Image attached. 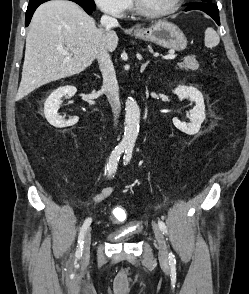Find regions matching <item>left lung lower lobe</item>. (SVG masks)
I'll list each match as a JSON object with an SVG mask.
<instances>
[{
	"mask_svg": "<svg viewBox=\"0 0 249 294\" xmlns=\"http://www.w3.org/2000/svg\"><path fill=\"white\" fill-rule=\"evenodd\" d=\"M189 10H201L210 15L218 25H220L219 20V10L218 7L210 2H203V3H193L189 7L185 9V11Z\"/></svg>",
	"mask_w": 249,
	"mask_h": 294,
	"instance_id": "obj_1",
	"label": "left lung lower lobe"
}]
</instances>
